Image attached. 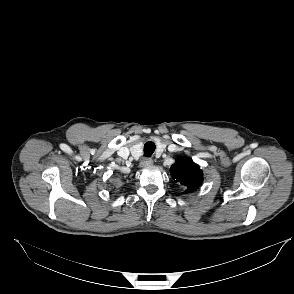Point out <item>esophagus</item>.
Masks as SVG:
<instances>
[{
  "mask_svg": "<svg viewBox=\"0 0 294 294\" xmlns=\"http://www.w3.org/2000/svg\"><path fill=\"white\" fill-rule=\"evenodd\" d=\"M153 164V160L151 158H144L141 161V166L142 167H147V166H151Z\"/></svg>",
  "mask_w": 294,
  "mask_h": 294,
  "instance_id": "34e87169",
  "label": "esophagus"
}]
</instances>
